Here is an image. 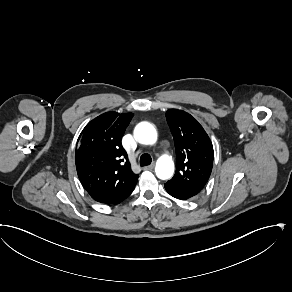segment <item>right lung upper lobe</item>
Instances as JSON below:
<instances>
[{"instance_id":"cb5924a9","label":"right lung upper lobe","mask_w":292,"mask_h":292,"mask_svg":"<svg viewBox=\"0 0 292 292\" xmlns=\"http://www.w3.org/2000/svg\"><path fill=\"white\" fill-rule=\"evenodd\" d=\"M132 113L106 112L90 121L78 138L75 164L78 177L97 202L119 204L133 191L134 174L121 139Z\"/></svg>"}]
</instances>
